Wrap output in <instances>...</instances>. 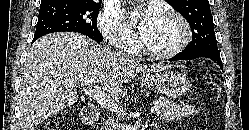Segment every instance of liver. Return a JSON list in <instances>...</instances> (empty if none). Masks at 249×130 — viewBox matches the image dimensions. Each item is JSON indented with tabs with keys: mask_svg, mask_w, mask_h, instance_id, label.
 Returning <instances> with one entry per match:
<instances>
[{
	"mask_svg": "<svg viewBox=\"0 0 249 130\" xmlns=\"http://www.w3.org/2000/svg\"><path fill=\"white\" fill-rule=\"evenodd\" d=\"M167 66L120 62L116 53L79 33H53L37 40L27 56L19 90L21 130L34 127L74 104L77 86L100 84L113 104L127 95L124 85L138 73Z\"/></svg>",
	"mask_w": 249,
	"mask_h": 130,
	"instance_id": "liver-1",
	"label": "liver"
}]
</instances>
